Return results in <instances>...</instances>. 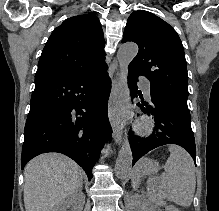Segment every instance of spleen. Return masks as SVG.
<instances>
[{"label":"spleen","instance_id":"3e777b00","mask_svg":"<svg viewBox=\"0 0 219 211\" xmlns=\"http://www.w3.org/2000/svg\"><path fill=\"white\" fill-rule=\"evenodd\" d=\"M168 157L164 167L165 175L161 177L157 187V195L160 199L175 201L178 205H191L195 193L196 177L194 161L186 149L180 145L171 143L168 147ZM139 173L133 171L132 185L138 187L140 183Z\"/></svg>","mask_w":219,"mask_h":211}]
</instances>
